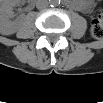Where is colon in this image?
Masks as SVG:
<instances>
[{"label": "colon", "instance_id": "obj_1", "mask_svg": "<svg viewBox=\"0 0 103 103\" xmlns=\"http://www.w3.org/2000/svg\"><path fill=\"white\" fill-rule=\"evenodd\" d=\"M90 35L94 39H100L103 37V16L98 15L93 19L90 27Z\"/></svg>", "mask_w": 103, "mask_h": 103}]
</instances>
